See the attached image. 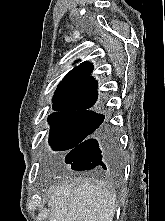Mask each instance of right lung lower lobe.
I'll return each instance as SVG.
<instances>
[{
  "instance_id": "98d812e1",
  "label": "right lung lower lobe",
  "mask_w": 165,
  "mask_h": 221,
  "mask_svg": "<svg viewBox=\"0 0 165 221\" xmlns=\"http://www.w3.org/2000/svg\"><path fill=\"white\" fill-rule=\"evenodd\" d=\"M73 170L108 169L119 165L117 143L110 128L103 125L96 138H88L74 147L65 157Z\"/></svg>"
}]
</instances>
